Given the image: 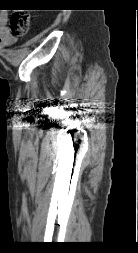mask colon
I'll return each instance as SVG.
<instances>
[{
    "mask_svg": "<svg viewBox=\"0 0 138 253\" xmlns=\"http://www.w3.org/2000/svg\"><path fill=\"white\" fill-rule=\"evenodd\" d=\"M29 28V15L25 12H17L11 16L10 29L14 36H22Z\"/></svg>",
    "mask_w": 138,
    "mask_h": 253,
    "instance_id": "5ec220e1",
    "label": "colon"
}]
</instances>
